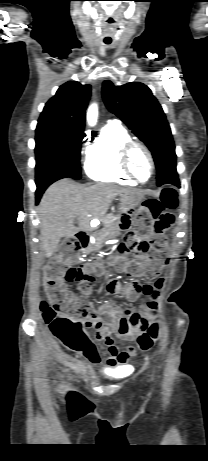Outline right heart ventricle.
<instances>
[{
  "mask_svg": "<svg viewBox=\"0 0 208 461\" xmlns=\"http://www.w3.org/2000/svg\"><path fill=\"white\" fill-rule=\"evenodd\" d=\"M132 138L119 124H107L100 136L87 149L84 169L89 178L98 182L135 184L121 167L122 147Z\"/></svg>",
  "mask_w": 208,
  "mask_h": 461,
  "instance_id": "e07e8e85",
  "label": "right heart ventricle"
}]
</instances>
